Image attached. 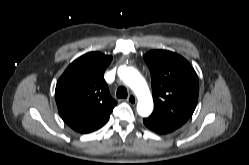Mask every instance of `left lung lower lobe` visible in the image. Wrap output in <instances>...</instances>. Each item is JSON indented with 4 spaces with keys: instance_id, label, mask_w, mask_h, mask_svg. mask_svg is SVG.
Segmentation results:
<instances>
[{
    "instance_id": "0a47b994",
    "label": "left lung lower lobe",
    "mask_w": 249,
    "mask_h": 165,
    "mask_svg": "<svg viewBox=\"0 0 249 165\" xmlns=\"http://www.w3.org/2000/svg\"><path fill=\"white\" fill-rule=\"evenodd\" d=\"M143 123L152 131L160 134L170 133L182 126L176 122L162 120L151 116L144 118Z\"/></svg>"
}]
</instances>
